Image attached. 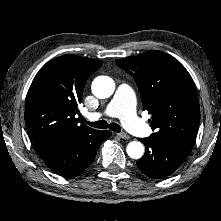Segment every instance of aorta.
<instances>
[{"label":"aorta","instance_id":"obj_1","mask_svg":"<svg viewBox=\"0 0 221 221\" xmlns=\"http://www.w3.org/2000/svg\"><path fill=\"white\" fill-rule=\"evenodd\" d=\"M114 90L115 83L108 76H99L92 83V93L100 99L110 97ZM126 152L130 158L139 159L144 154V146L138 141H132L127 145Z\"/></svg>","mask_w":221,"mask_h":221}]
</instances>
